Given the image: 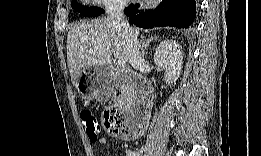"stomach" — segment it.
<instances>
[{
	"mask_svg": "<svg viewBox=\"0 0 261 156\" xmlns=\"http://www.w3.org/2000/svg\"><path fill=\"white\" fill-rule=\"evenodd\" d=\"M76 88L81 96L87 100L108 95L112 89V75L109 67L95 66L84 71V77L81 75Z\"/></svg>",
	"mask_w": 261,
	"mask_h": 156,
	"instance_id": "1",
	"label": "stomach"
}]
</instances>
